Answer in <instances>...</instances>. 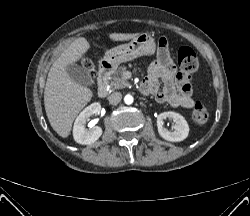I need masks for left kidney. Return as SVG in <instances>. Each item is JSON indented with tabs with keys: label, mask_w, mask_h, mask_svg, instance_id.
<instances>
[{
	"label": "left kidney",
	"mask_w": 250,
	"mask_h": 216,
	"mask_svg": "<svg viewBox=\"0 0 250 216\" xmlns=\"http://www.w3.org/2000/svg\"><path fill=\"white\" fill-rule=\"evenodd\" d=\"M169 118L175 122L174 131L170 132L163 127V120ZM157 126L159 135L170 142H180L188 137L189 125L185 118L176 112L168 111L163 112L157 117Z\"/></svg>",
	"instance_id": "5707ae66"
}]
</instances>
